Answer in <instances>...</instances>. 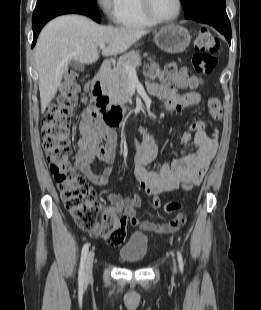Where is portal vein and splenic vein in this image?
I'll list each match as a JSON object with an SVG mask.
<instances>
[{
    "label": "portal vein and splenic vein",
    "mask_w": 261,
    "mask_h": 310,
    "mask_svg": "<svg viewBox=\"0 0 261 310\" xmlns=\"http://www.w3.org/2000/svg\"><path fill=\"white\" fill-rule=\"evenodd\" d=\"M99 47H100V49H105V47H106V45H105V43H101L100 45H99ZM125 70H126V72L128 73V76L129 77H136L137 76V74H136V69L134 68V67H131V66H125Z\"/></svg>",
    "instance_id": "obj_1"
}]
</instances>
